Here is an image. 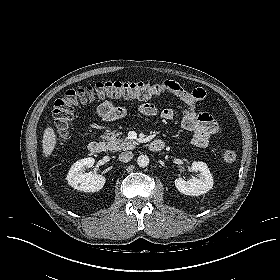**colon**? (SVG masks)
I'll use <instances>...</instances> for the list:
<instances>
[{"mask_svg":"<svg viewBox=\"0 0 280 280\" xmlns=\"http://www.w3.org/2000/svg\"><path fill=\"white\" fill-rule=\"evenodd\" d=\"M161 93H163V87L154 82L102 81L91 86L68 90L53 105L52 115L56 134L60 139L66 137L68 128L74 118V109L79 104H87L96 99L105 98L147 99ZM236 158L237 152L234 148L226 147L223 149L222 160L225 164L234 163Z\"/></svg>","mask_w":280,"mask_h":280,"instance_id":"colon-1","label":"colon"}]
</instances>
